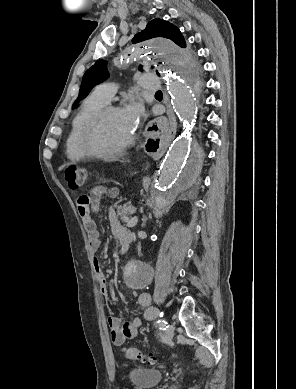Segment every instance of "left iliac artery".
<instances>
[{
	"instance_id": "left-iliac-artery-1",
	"label": "left iliac artery",
	"mask_w": 296,
	"mask_h": 389,
	"mask_svg": "<svg viewBox=\"0 0 296 389\" xmlns=\"http://www.w3.org/2000/svg\"><path fill=\"white\" fill-rule=\"evenodd\" d=\"M157 325H158L159 329H161V330H166L168 327L167 322L163 319L157 320Z\"/></svg>"
}]
</instances>
